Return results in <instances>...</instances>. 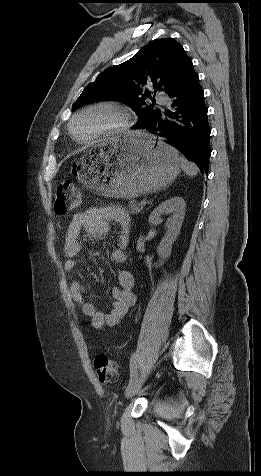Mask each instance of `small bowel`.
<instances>
[{
  "instance_id": "small-bowel-1",
  "label": "small bowel",
  "mask_w": 261,
  "mask_h": 476,
  "mask_svg": "<svg viewBox=\"0 0 261 476\" xmlns=\"http://www.w3.org/2000/svg\"><path fill=\"white\" fill-rule=\"evenodd\" d=\"M112 223L117 225L118 233L111 251V259L117 263L126 260L131 228L129 214L118 206L94 207L75 214L68 226L64 245V269L66 272L71 273L78 265L82 237L86 235L93 238H104L110 231ZM117 282L118 285L111 290L112 301L109 312H103L94 304L84 300L86 289L81 281L73 280L71 282L72 299L80 305L82 312L91 319L92 326L96 329L102 330L117 325L135 303L134 278L131 272L125 269L119 270Z\"/></svg>"
}]
</instances>
